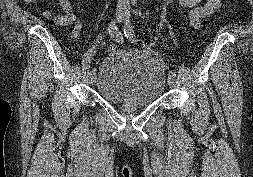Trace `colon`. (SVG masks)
<instances>
[{
  "mask_svg": "<svg viewBox=\"0 0 253 177\" xmlns=\"http://www.w3.org/2000/svg\"><path fill=\"white\" fill-rule=\"evenodd\" d=\"M107 50L109 53H115L117 51V48L114 43H109L107 46Z\"/></svg>",
  "mask_w": 253,
  "mask_h": 177,
  "instance_id": "obj_1",
  "label": "colon"
}]
</instances>
